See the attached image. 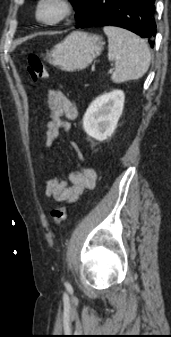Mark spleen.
I'll use <instances>...</instances> for the list:
<instances>
[{
    "instance_id": "1",
    "label": "spleen",
    "mask_w": 171,
    "mask_h": 337,
    "mask_svg": "<svg viewBox=\"0 0 171 337\" xmlns=\"http://www.w3.org/2000/svg\"><path fill=\"white\" fill-rule=\"evenodd\" d=\"M103 30L108 37V59L115 62L112 81L122 83L143 77L151 60L145 40L115 26H105Z\"/></svg>"
}]
</instances>
